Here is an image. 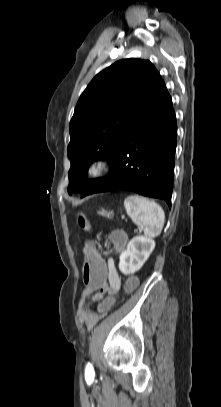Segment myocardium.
I'll use <instances>...</instances> for the list:
<instances>
[{
	"mask_svg": "<svg viewBox=\"0 0 221 407\" xmlns=\"http://www.w3.org/2000/svg\"><path fill=\"white\" fill-rule=\"evenodd\" d=\"M113 167V160L109 156H98L88 162L85 168V175L90 180L102 179Z\"/></svg>",
	"mask_w": 221,
	"mask_h": 407,
	"instance_id": "obj_1",
	"label": "myocardium"
}]
</instances>
